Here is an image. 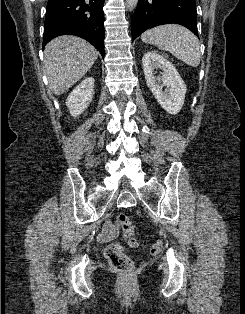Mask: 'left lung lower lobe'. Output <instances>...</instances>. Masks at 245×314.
<instances>
[{
  "label": "left lung lower lobe",
  "instance_id": "left-lung-lower-lobe-1",
  "mask_svg": "<svg viewBox=\"0 0 245 314\" xmlns=\"http://www.w3.org/2000/svg\"><path fill=\"white\" fill-rule=\"evenodd\" d=\"M176 23L198 36L195 0H138L132 18V40L148 28Z\"/></svg>",
  "mask_w": 245,
  "mask_h": 314
}]
</instances>
